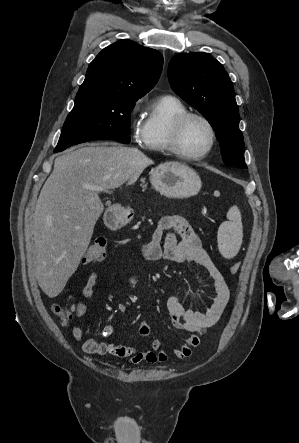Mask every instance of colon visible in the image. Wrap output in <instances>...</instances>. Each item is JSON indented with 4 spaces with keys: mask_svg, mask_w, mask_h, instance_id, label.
Returning <instances> with one entry per match:
<instances>
[{
    "mask_svg": "<svg viewBox=\"0 0 299 443\" xmlns=\"http://www.w3.org/2000/svg\"><path fill=\"white\" fill-rule=\"evenodd\" d=\"M106 254H107V241L105 239H97L89 245L85 253V256L83 258V261L85 263L98 262L100 260H103ZM239 269H240L239 262H235L230 266V272L232 274H236L239 271ZM52 310L56 315H58L62 319L64 325H67L72 319L71 312L67 309L66 306L60 303H55L52 306Z\"/></svg>",
    "mask_w": 299,
    "mask_h": 443,
    "instance_id": "1",
    "label": "colon"
}]
</instances>
